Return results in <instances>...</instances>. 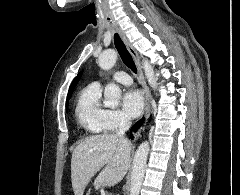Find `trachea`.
<instances>
[{
    "label": "trachea",
    "instance_id": "obj_1",
    "mask_svg": "<svg viewBox=\"0 0 240 195\" xmlns=\"http://www.w3.org/2000/svg\"><path fill=\"white\" fill-rule=\"evenodd\" d=\"M114 44L126 67L130 68L132 72L137 73V68L133 61V58L128 52L126 46L124 45V42L122 41L118 33H115L114 35Z\"/></svg>",
    "mask_w": 240,
    "mask_h": 195
}]
</instances>
